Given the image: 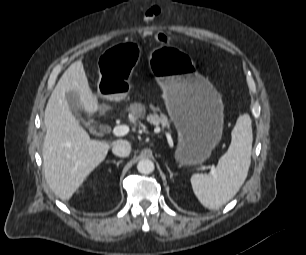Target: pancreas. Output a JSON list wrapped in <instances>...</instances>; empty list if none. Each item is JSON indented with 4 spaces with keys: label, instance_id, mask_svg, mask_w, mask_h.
Here are the masks:
<instances>
[{
    "label": "pancreas",
    "instance_id": "cf45deb5",
    "mask_svg": "<svg viewBox=\"0 0 306 255\" xmlns=\"http://www.w3.org/2000/svg\"><path fill=\"white\" fill-rule=\"evenodd\" d=\"M153 110V114H150L147 116V120L156 126L161 125L162 128H170V121L168 120L167 116L164 114H161L160 116L156 113L157 109L155 107H151ZM131 114L134 117H140L143 118L145 116V106L141 104H134L131 107Z\"/></svg>",
    "mask_w": 306,
    "mask_h": 255
}]
</instances>
